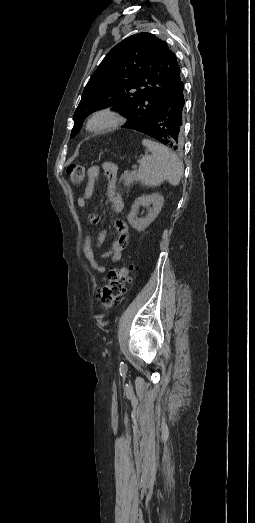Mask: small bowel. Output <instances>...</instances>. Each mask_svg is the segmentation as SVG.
<instances>
[{
	"mask_svg": "<svg viewBox=\"0 0 255 523\" xmlns=\"http://www.w3.org/2000/svg\"><path fill=\"white\" fill-rule=\"evenodd\" d=\"M102 168L107 173L109 177V182L106 189V197L111 203V207L114 212L120 213L123 211L124 202L122 197L118 194L116 190V168L110 163H105ZM99 169L97 167H92L88 171L89 181L83 192V194L78 197L77 205L80 208H84L88 200L93 196L95 180L98 176ZM89 221L92 224L100 223V216L92 213L89 215ZM115 229L117 232V238L111 244L110 250L102 255L103 258L109 259L111 262L116 263L122 259V252L128 242L129 232L127 224L122 220H117L115 222ZM106 233L101 231L98 236V243L102 244L105 240ZM83 254L88 261L90 267L98 273H104L106 268L99 262V258L96 256L93 247H92V235L90 231H86L84 241H83Z\"/></svg>",
	"mask_w": 255,
	"mask_h": 523,
	"instance_id": "c3829d8e",
	"label": "small bowel"
}]
</instances>
